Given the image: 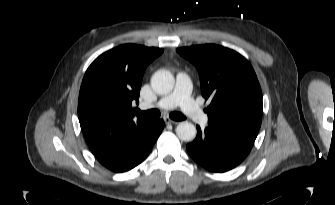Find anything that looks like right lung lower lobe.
<instances>
[{
  "mask_svg": "<svg viewBox=\"0 0 335 205\" xmlns=\"http://www.w3.org/2000/svg\"><path fill=\"white\" fill-rule=\"evenodd\" d=\"M164 127V121L157 119V127L137 145L118 153L97 155V160L114 172H125L140 164L150 153Z\"/></svg>",
  "mask_w": 335,
  "mask_h": 205,
  "instance_id": "1",
  "label": "right lung lower lobe"
}]
</instances>
